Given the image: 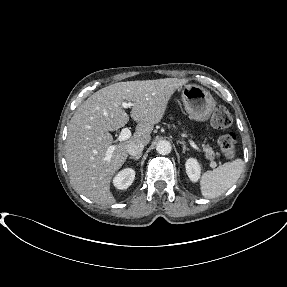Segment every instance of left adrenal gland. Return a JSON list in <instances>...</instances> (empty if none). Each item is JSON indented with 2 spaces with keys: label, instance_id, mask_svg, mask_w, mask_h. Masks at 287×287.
Returning <instances> with one entry per match:
<instances>
[{
  "label": "left adrenal gland",
  "instance_id": "1",
  "mask_svg": "<svg viewBox=\"0 0 287 287\" xmlns=\"http://www.w3.org/2000/svg\"><path fill=\"white\" fill-rule=\"evenodd\" d=\"M180 144L183 145V153H185V151H188L189 149L186 147L185 143L184 142H180Z\"/></svg>",
  "mask_w": 287,
  "mask_h": 287
}]
</instances>
